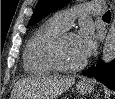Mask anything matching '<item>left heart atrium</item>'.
<instances>
[{"label": "left heart atrium", "mask_w": 115, "mask_h": 99, "mask_svg": "<svg viewBox=\"0 0 115 99\" xmlns=\"http://www.w3.org/2000/svg\"><path fill=\"white\" fill-rule=\"evenodd\" d=\"M76 42L84 58L92 54L96 47V35L92 26L88 23L84 24L76 34Z\"/></svg>", "instance_id": "39dd6f15"}]
</instances>
